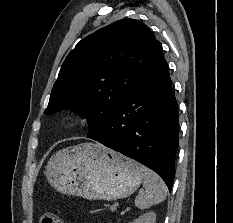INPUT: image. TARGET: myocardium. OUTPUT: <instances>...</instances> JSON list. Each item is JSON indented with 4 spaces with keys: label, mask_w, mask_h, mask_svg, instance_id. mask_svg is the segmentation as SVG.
<instances>
[{
    "label": "myocardium",
    "mask_w": 233,
    "mask_h": 223,
    "mask_svg": "<svg viewBox=\"0 0 233 223\" xmlns=\"http://www.w3.org/2000/svg\"><path fill=\"white\" fill-rule=\"evenodd\" d=\"M88 116L76 109L68 110L61 118V127L64 130H74L86 124Z\"/></svg>",
    "instance_id": "1"
}]
</instances>
